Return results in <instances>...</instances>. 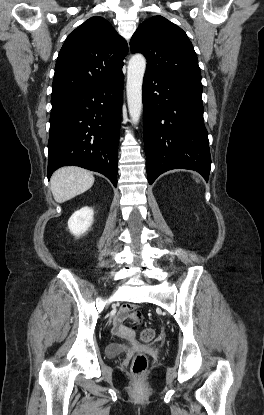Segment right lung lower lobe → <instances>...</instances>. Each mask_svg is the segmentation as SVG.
Here are the masks:
<instances>
[{
  "label": "right lung lower lobe",
  "mask_w": 264,
  "mask_h": 415,
  "mask_svg": "<svg viewBox=\"0 0 264 415\" xmlns=\"http://www.w3.org/2000/svg\"><path fill=\"white\" fill-rule=\"evenodd\" d=\"M124 76L52 96L48 179L67 165L105 175L117 186V152Z\"/></svg>",
  "instance_id": "right-lung-lower-lobe-1"
}]
</instances>
